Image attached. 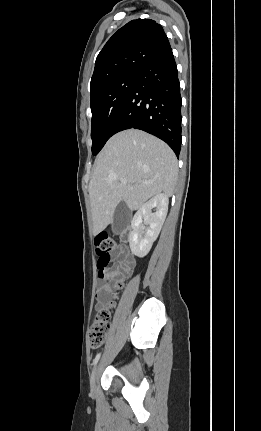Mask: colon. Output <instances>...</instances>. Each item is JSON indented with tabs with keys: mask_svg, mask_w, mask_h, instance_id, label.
Listing matches in <instances>:
<instances>
[{
	"mask_svg": "<svg viewBox=\"0 0 261 431\" xmlns=\"http://www.w3.org/2000/svg\"><path fill=\"white\" fill-rule=\"evenodd\" d=\"M96 254L98 256V273L103 274L104 269L112 261L118 245L115 240L107 234H99L95 238ZM122 281L119 279L114 287L121 288ZM110 330V312L108 309L100 310L94 317L88 332V342L92 348L100 347Z\"/></svg>",
	"mask_w": 261,
	"mask_h": 431,
	"instance_id": "colon-1",
	"label": "colon"
}]
</instances>
